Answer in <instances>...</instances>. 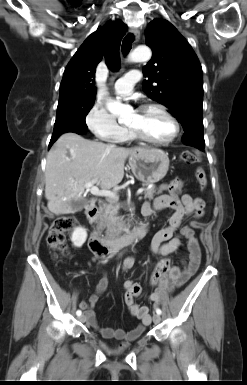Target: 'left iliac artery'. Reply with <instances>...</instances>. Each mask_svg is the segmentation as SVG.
I'll use <instances>...</instances> for the list:
<instances>
[{
	"instance_id": "left-iliac-artery-1",
	"label": "left iliac artery",
	"mask_w": 247,
	"mask_h": 385,
	"mask_svg": "<svg viewBox=\"0 0 247 385\" xmlns=\"http://www.w3.org/2000/svg\"><path fill=\"white\" fill-rule=\"evenodd\" d=\"M156 313L159 314V315H161V313H162L161 309H160V308H157V309H156Z\"/></svg>"
}]
</instances>
